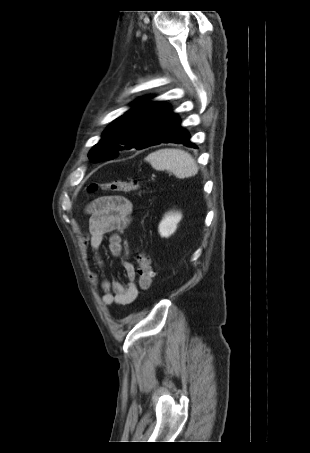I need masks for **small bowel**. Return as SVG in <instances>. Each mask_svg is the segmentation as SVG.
Wrapping results in <instances>:
<instances>
[{"instance_id":"small-bowel-1","label":"small bowel","mask_w":310,"mask_h":453,"mask_svg":"<svg viewBox=\"0 0 310 453\" xmlns=\"http://www.w3.org/2000/svg\"><path fill=\"white\" fill-rule=\"evenodd\" d=\"M132 207L129 199L115 195L97 198L87 209L88 234L84 244L91 249L96 265L104 267L99 248L104 237L108 235L109 249L113 255H122V265L127 277V283L123 285L117 281L100 278L98 273L89 270L90 281L103 292L102 303L105 306L128 305L138 296L136 271L130 261L131 250L128 241L123 237L132 221Z\"/></svg>"}]
</instances>
